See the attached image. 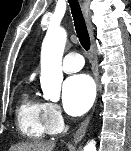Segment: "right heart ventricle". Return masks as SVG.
<instances>
[{
	"instance_id": "1",
	"label": "right heart ventricle",
	"mask_w": 131,
	"mask_h": 151,
	"mask_svg": "<svg viewBox=\"0 0 131 151\" xmlns=\"http://www.w3.org/2000/svg\"><path fill=\"white\" fill-rule=\"evenodd\" d=\"M17 125L21 134L30 139H42L52 133L45 118V103L24 93L17 109Z\"/></svg>"
}]
</instances>
